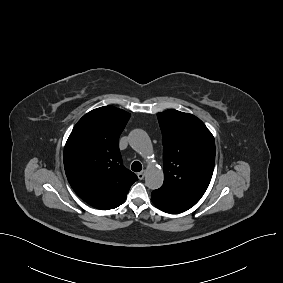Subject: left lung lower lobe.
Instances as JSON below:
<instances>
[{
    "instance_id": "1",
    "label": "left lung lower lobe",
    "mask_w": 283,
    "mask_h": 283,
    "mask_svg": "<svg viewBox=\"0 0 283 283\" xmlns=\"http://www.w3.org/2000/svg\"><path fill=\"white\" fill-rule=\"evenodd\" d=\"M151 200L160 210L166 213L177 214L185 211L159 190H154L151 193Z\"/></svg>"
}]
</instances>
